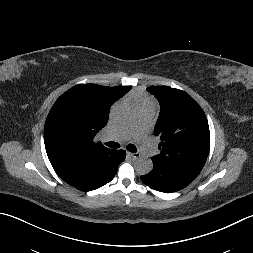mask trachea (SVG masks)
I'll use <instances>...</instances> for the list:
<instances>
[{"label":"trachea","instance_id":"1","mask_svg":"<svg viewBox=\"0 0 253 253\" xmlns=\"http://www.w3.org/2000/svg\"><path fill=\"white\" fill-rule=\"evenodd\" d=\"M106 145L110 148H119L120 147V144L117 143V142H113V141H110L108 143H106ZM126 149L129 151V152H132V153H135L137 152V148L133 145V144H128Z\"/></svg>","mask_w":253,"mask_h":253}]
</instances>
